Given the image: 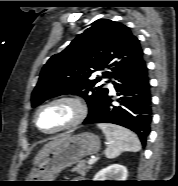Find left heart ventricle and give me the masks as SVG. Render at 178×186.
Instances as JSON below:
<instances>
[{
  "label": "left heart ventricle",
  "mask_w": 178,
  "mask_h": 186,
  "mask_svg": "<svg viewBox=\"0 0 178 186\" xmlns=\"http://www.w3.org/2000/svg\"><path fill=\"white\" fill-rule=\"evenodd\" d=\"M74 113L75 110L70 104L57 103L43 108L37 116V121L43 130L51 131L67 124Z\"/></svg>",
  "instance_id": "b2bd125f"
}]
</instances>
